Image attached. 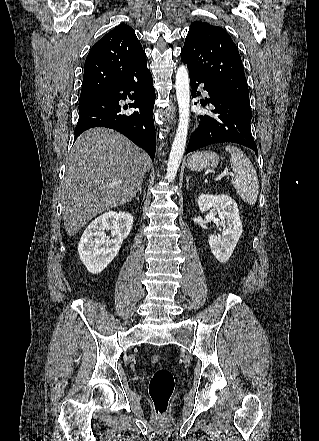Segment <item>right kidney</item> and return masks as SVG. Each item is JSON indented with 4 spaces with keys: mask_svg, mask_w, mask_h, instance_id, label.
I'll return each instance as SVG.
<instances>
[{
    "mask_svg": "<svg viewBox=\"0 0 319 441\" xmlns=\"http://www.w3.org/2000/svg\"><path fill=\"white\" fill-rule=\"evenodd\" d=\"M133 216L125 212H107L93 220L82 234L78 253L82 263L92 274L102 272L118 254L123 240L129 235ZM105 230L115 238L108 240Z\"/></svg>",
    "mask_w": 319,
    "mask_h": 441,
    "instance_id": "obj_1",
    "label": "right kidney"
}]
</instances>
